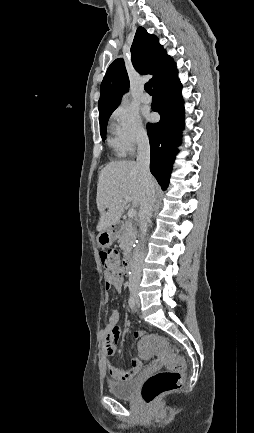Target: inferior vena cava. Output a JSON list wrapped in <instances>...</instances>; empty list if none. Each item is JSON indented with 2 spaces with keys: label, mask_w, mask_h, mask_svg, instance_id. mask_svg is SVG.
<instances>
[{
  "label": "inferior vena cava",
  "mask_w": 254,
  "mask_h": 433,
  "mask_svg": "<svg viewBox=\"0 0 254 433\" xmlns=\"http://www.w3.org/2000/svg\"><path fill=\"white\" fill-rule=\"evenodd\" d=\"M136 165L140 169L143 179V197L140 205V231L141 239L143 241L144 236L147 233L148 222L152 216L155 202V184L149 169L150 145L149 139L146 135H142L138 139V155ZM143 260L144 251L142 248H139L135 251L131 263V275L129 277L130 289L138 288L140 284Z\"/></svg>",
  "instance_id": "obj_1"
}]
</instances>
